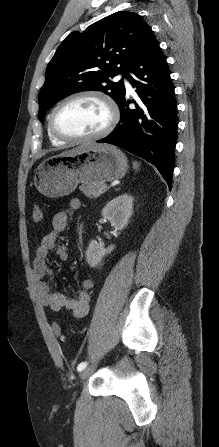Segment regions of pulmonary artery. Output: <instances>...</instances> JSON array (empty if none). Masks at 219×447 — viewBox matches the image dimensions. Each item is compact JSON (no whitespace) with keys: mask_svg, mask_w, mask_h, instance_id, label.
Wrapping results in <instances>:
<instances>
[{"mask_svg":"<svg viewBox=\"0 0 219 447\" xmlns=\"http://www.w3.org/2000/svg\"><path fill=\"white\" fill-rule=\"evenodd\" d=\"M119 78H120V77H119ZM124 83H125V86H126L127 90H128L129 92H132L133 89H132L130 83L128 82V80L124 79Z\"/></svg>","mask_w":219,"mask_h":447,"instance_id":"1","label":"pulmonary artery"}]
</instances>
